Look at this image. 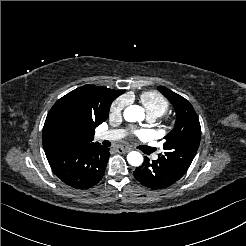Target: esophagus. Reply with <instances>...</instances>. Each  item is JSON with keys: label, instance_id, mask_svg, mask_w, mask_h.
Wrapping results in <instances>:
<instances>
[{"label": "esophagus", "instance_id": "esophagus-1", "mask_svg": "<svg viewBox=\"0 0 246 246\" xmlns=\"http://www.w3.org/2000/svg\"><path fill=\"white\" fill-rule=\"evenodd\" d=\"M116 150H117V152H120V153H127V152L131 151V149L127 148V147H118Z\"/></svg>", "mask_w": 246, "mask_h": 246}]
</instances>
